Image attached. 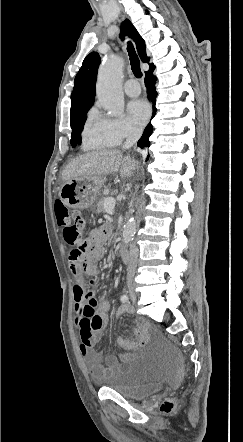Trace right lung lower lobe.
<instances>
[{"label":"right lung lower lobe","instance_id":"obj_1","mask_svg":"<svg viewBox=\"0 0 243 442\" xmlns=\"http://www.w3.org/2000/svg\"><path fill=\"white\" fill-rule=\"evenodd\" d=\"M154 70V66H150V69L146 72V76H145V85L149 90V99H151L153 101V116L156 113V108H155V100L157 97V92L155 90V83H156V77L152 75ZM152 130L153 127L151 125V123L148 124V126L146 127L143 136L141 137V139L138 142V146L143 148L149 145V137L152 134ZM148 159V157H147Z\"/></svg>","mask_w":243,"mask_h":442}]
</instances>
